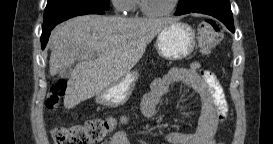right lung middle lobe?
<instances>
[{
  "mask_svg": "<svg viewBox=\"0 0 273 144\" xmlns=\"http://www.w3.org/2000/svg\"><path fill=\"white\" fill-rule=\"evenodd\" d=\"M79 5L97 6L107 10L109 9V0H48L44 12V22L58 9Z\"/></svg>",
  "mask_w": 273,
  "mask_h": 144,
  "instance_id": "obj_1",
  "label": "right lung middle lobe"
}]
</instances>
